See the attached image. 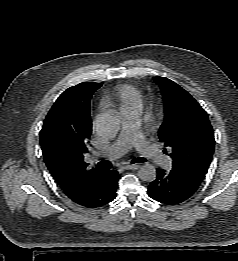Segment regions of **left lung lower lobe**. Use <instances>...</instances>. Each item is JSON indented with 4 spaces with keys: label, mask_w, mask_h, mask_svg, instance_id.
Here are the masks:
<instances>
[{
    "label": "left lung lower lobe",
    "mask_w": 238,
    "mask_h": 261,
    "mask_svg": "<svg viewBox=\"0 0 238 261\" xmlns=\"http://www.w3.org/2000/svg\"><path fill=\"white\" fill-rule=\"evenodd\" d=\"M200 183L189 180L173 169H157L156 179L148 187V195L164 204L176 205L191 197Z\"/></svg>",
    "instance_id": "left-lung-lower-lobe-1"
}]
</instances>
